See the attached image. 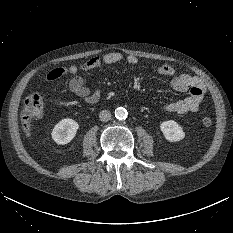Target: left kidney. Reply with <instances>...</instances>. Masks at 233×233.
<instances>
[{
  "label": "left kidney",
  "instance_id": "1",
  "mask_svg": "<svg viewBox=\"0 0 233 233\" xmlns=\"http://www.w3.org/2000/svg\"><path fill=\"white\" fill-rule=\"evenodd\" d=\"M160 129L169 142H178L185 137L183 128L174 120L162 122L160 124Z\"/></svg>",
  "mask_w": 233,
  "mask_h": 233
}]
</instances>
